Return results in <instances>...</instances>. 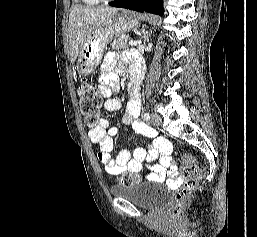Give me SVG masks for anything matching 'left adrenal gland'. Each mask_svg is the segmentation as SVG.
<instances>
[{
	"mask_svg": "<svg viewBox=\"0 0 257 237\" xmlns=\"http://www.w3.org/2000/svg\"><path fill=\"white\" fill-rule=\"evenodd\" d=\"M150 34L148 33V31H145V30H143V32H142V38L144 39V42H146L147 40H148V36H149Z\"/></svg>",
	"mask_w": 257,
	"mask_h": 237,
	"instance_id": "left-adrenal-gland-1",
	"label": "left adrenal gland"
}]
</instances>
